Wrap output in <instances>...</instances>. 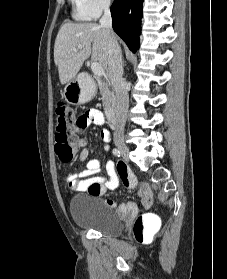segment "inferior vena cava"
<instances>
[{"label":"inferior vena cava","instance_id":"602c4592","mask_svg":"<svg viewBox=\"0 0 227 279\" xmlns=\"http://www.w3.org/2000/svg\"><path fill=\"white\" fill-rule=\"evenodd\" d=\"M110 3L106 0L103 4L104 14L100 19L101 27L105 28L108 33V69L109 77L115 90V119L116 131L115 136L123 134L127 117L129 97L128 85L123 79L122 53L120 46L112 31V18L110 13Z\"/></svg>","mask_w":227,"mask_h":279}]
</instances>
